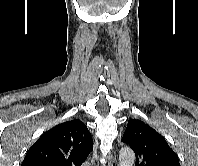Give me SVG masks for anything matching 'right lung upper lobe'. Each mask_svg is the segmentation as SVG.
Here are the masks:
<instances>
[{"mask_svg": "<svg viewBox=\"0 0 198 166\" xmlns=\"http://www.w3.org/2000/svg\"><path fill=\"white\" fill-rule=\"evenodd\" d=\"M91 150L90 132L75 119L45 132L28 150L21 166H81Z\"/></svg>", "mask_w": 198, "mask_h": 166, "instance_id": "obj_1", "label": "right lung upper lobe"}]
</instances>
